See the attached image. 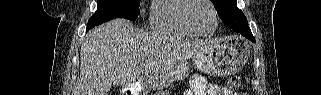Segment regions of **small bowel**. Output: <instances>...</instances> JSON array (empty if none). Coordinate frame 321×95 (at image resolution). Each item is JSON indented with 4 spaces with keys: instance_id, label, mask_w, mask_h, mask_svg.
<instances>
[{
    "instance_id": "small-bowel-1",
    "label": "small bowel",
    "mask_w": 321,
    "mask_h": 95,
    "mask_svg": "<svg viewBox=\"0 0 321 95\" xmlns=\"http://www.w3.org/2000/svg\"><path fill=\"white\" fill-rule=\"evenodd\" d=\"M226 89L217 84H204L200 92L189 93V95H228Z\"/></svg>"
}]
</instances>
